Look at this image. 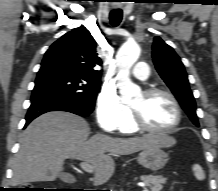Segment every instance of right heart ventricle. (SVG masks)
<instances>
[{"label":"right heart ventricle","instance_id":"1","mask_svg":"<svg viewBox=\"0 0 218 191\" xmlns=\"http://www.w3.org/2000/svg\"><path fill=\"white\" fill-rule=\"evenodd\" d=\"M120 131L123 133H133L136 131V129L134 128L132 124L131 116L129 120L121 126Z\"/></svg>","mask_w":218,"mask_h":191}]
</instances>
